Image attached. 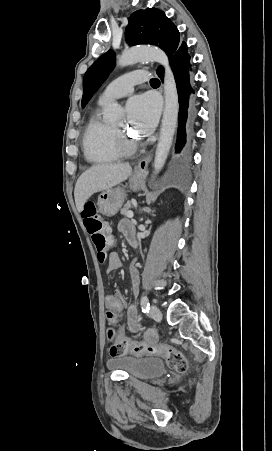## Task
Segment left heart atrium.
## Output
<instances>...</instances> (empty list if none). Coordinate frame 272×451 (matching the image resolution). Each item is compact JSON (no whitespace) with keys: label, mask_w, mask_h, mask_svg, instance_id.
<instances>
[{"label":"left heart atrium","mask_w":272,"mask_h":451,"mask_svg":"<svg viewBox=\"0 0 272 451\" xmlns=\"http://www.w3.org/2000/svg\"><path fill=\"white\" fill-rule=\"evenodd\" d=\"M126 110L130 128L135 133L145 136L152 132L159 115V104L155 98L148 94L132 97Z\"/></svg>","instance_id":"1"}]
</instances>
